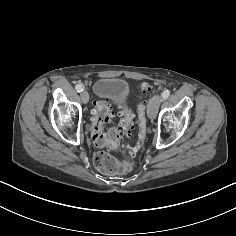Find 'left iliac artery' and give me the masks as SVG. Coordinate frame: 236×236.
Wrapping results in <instances>:
<instances>
[{
  "label": "left iliac artery",
  "instance_id": "left-iliac-artery-1",
  "mask_svg": "<svg viewBox=\"0 0 236 236\" xmlns=\"http://www.w3.org/2000/svg\"><path fill=\"white\" fill-rule=\"evenodd\" d=\"M170 96V91L169 90H164L162 93V99L166 100Z\"/></svg>",
  "mask_w": 236,
  "mask_h": 236
}]
</instances>
